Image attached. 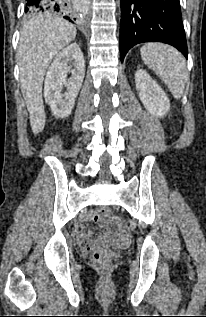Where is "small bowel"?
<instances>
[{"label": "small bowel", "mask_w": 206, "mask_h": 317, "mask_svg": "<svg viewBox=\"0 0 206 317\" xmlns=\"http://www.w3.org/2000/svg\"><path fill=\"white\" fill-rule=\"evenodd\" d=\"M89 217H90V219L95 220V221L99 220L97 212H95V211H91L89 213ZM84 229H85L84 226L77 227L76 234H77L80 242L83 245H86L90 242V235L88 233H86ZM106 236L108 239L114 240L115 233H114V231L110 230L107 232ZM128 236H129V232H128V229L125 227V225L118 227V238L120 241H122V242L127 241Z\"/></svg>", "instance_id": "1"}]
</instances>
